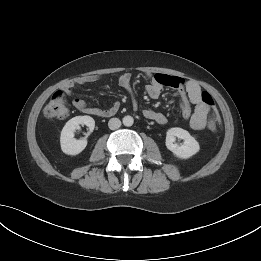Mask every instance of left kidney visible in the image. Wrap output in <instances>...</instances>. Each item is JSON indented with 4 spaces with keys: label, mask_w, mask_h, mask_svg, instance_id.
Returning a JSON list of instances; mask_svg holds the SVG:
<instances>
[{
    "label": "left kidney",
    "mask_w": 261,
    "mask_h": 261,
    "mask_svg": "<svg viewBox=\"0 0 261 261\" xmlns=\"http://www.w3.org/2000/svg\"><path fill=\"white\" fill-rule=\"evenodd\" d=\"M176 137L184 140L182 145L175 143ZM166 147L180 159H188L200 150L195 138L188 131L178 127L170 128L166 132Z\"/></svg>",
    "instance_id": "1"
}]
</instances>
